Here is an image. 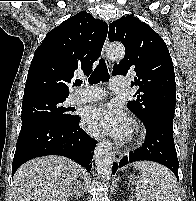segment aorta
<instances>
[{"label":"aorta","instance_id":"obj_1","mask_svg":"<svg viewBox=\"0 0 196 201\" xmlns=\"http://www.w3.org/2000/svg\"><path fill=\"white\" fill-rule=\"evenodd\" d=\"M106 53L112 60H121L125 55V48L122 44H112L108 46ZM94 160L99 177L109 180L112 174V154L109 141H103L97 145Z\"/></svg>","mask_w":196,"mask_h":201}]
</instances>
